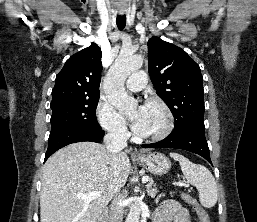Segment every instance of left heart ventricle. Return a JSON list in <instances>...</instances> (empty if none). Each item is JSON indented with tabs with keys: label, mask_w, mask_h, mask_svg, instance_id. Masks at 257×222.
<instances>
[{
	"label": "left heart ventricle",
	"mask_w": 257,
	"mask_h": 222,
	"mask_svg": "<svg viewBox=\"0 0 257 222\" xmlns=\"http://www.w3.org/2000/svg\"><path fill=\"white\" fill-rule=\"evenodd\" d=\"M165 116L159 106L147 105L146 130L143 135L154 133L163 127Z\"/></svg>",
	"instance_id": "b2bd125f"
}]
</instances>
